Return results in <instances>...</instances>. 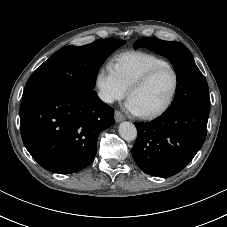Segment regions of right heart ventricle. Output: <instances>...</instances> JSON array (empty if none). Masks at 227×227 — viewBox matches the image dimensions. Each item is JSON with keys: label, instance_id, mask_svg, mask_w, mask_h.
<instances>
[{"label": "right heart ventricle", "instance_id": "e07e8e85", "mask_svg": "<svg viewBox=\"0 0 227 227\" xmlns=\"http://www.w3.org/2000/svg\"><path fill=\"white\" fill-rule=\"evenodd\" d=\"M164 59L146 52H124L117 55L112 68L121 83L128 89L137 79L157 66L166 65Z\"/></svg>", "mask_w": 227, "mask_h": 227}]
</instances>
